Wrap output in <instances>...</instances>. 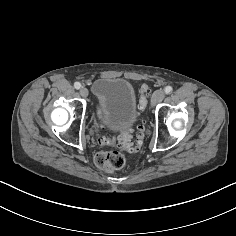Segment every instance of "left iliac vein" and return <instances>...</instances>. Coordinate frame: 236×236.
Instances as JSON below:
<instances>
[{"label": "left iliac vein", "mask_w": 236, "mask_h": 236, "mask_svg": "<svg viewBox=\"0 0 236 236\" xmlns=\"http://www.w3.org/2000/svg\"><path fill=\"white\" fill-rule=\"evenodd\" d=\"M165 97V93L162 90H156L151 98V104L152 106H155L156 104L160 103Z\"/></svg>", "instance_id": "1"}]
</instances>
